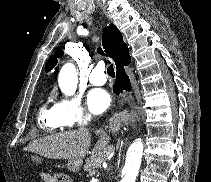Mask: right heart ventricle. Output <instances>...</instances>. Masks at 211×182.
<instances>
[{
    "instance_id": "1",
    "label": "right heart ventricle",
    "mask_w": 211,
    "mask_h": 182,
    "mask_svg": "<svg viewBox=\"0 0 211 182\" xmlns=\"http://www.w3.org/2000/svg\"><path fill=\"white\" fill-rule=\"evenodd\" d=\"M38 124L48 133L62 130L65 127L57 116L55 107H49L47 104L42 105L38 112Z\"/></svg>"
}]
</instances>
